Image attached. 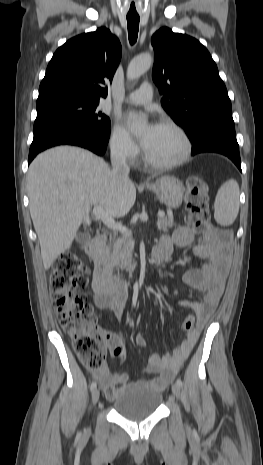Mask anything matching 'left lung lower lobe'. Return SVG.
<instances>
[{
    "label": "left lung lower lobe",
    "instance_id": "left-lung-lower-lobe-1",
    "mask_svg": "<svg viewBox=\"0 0 263 465\" xmlns=\"http://www.w3.org/2000/svg\"><path fill=\"white\" fill-rule=\"evenodd\" d=\"M191 155L201 152H217L228 156L241 170L239 145L236 140L234 124L220 123L202 132L197 140L192 142Z\"/></svg>",
    "mask_w": 263,
    "mask_h": 465
}]
</instances>
